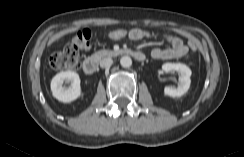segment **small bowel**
Segmentation results:
<instances>
[{"label": "small bowel", "mask_w": 244, "mask_h": 157, "mask_svg": "<svg viewBox=\"0 0 244 157\" xmlns=\"http://www.w3.org/2000/svg\"><path fill=\"white\" fill-rule=\"evenodd\" d=\"M157 34L147 30L133 28L129 30L128 38L134 41L144 38H155ZM166 40L170 46L166 48H154L151 51V57L155 60H171L184 56L188 52L187 46L183 40L177 36L167 35Z\"/></svg>", "instance_id": "small-bowel-1"}]
</instances>
